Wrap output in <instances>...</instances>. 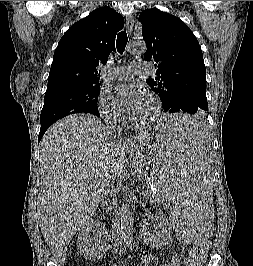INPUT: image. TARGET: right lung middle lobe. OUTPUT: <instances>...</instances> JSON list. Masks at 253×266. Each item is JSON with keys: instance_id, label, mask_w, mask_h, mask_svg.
<instances>
[{"instance_id": "1", "label": "right lung middle lobe", "mask_w": 253, "mask_h": 266, "mask_svg": "<svg viewBox=\"0 0 253 266\" xmlns=\"http://www.w3.org/2000/svg\"><path fill=\"white\" fill-rule=\"evenodd\" d=\"M100 84L71 85L47 90L41 111V127H49L55 121L75 113L98 115Z\"/></svg>"}]
</instances>
